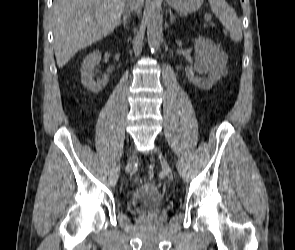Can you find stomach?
Here are the masks:
<instances>
[{
	"instance_id": "0dacf381",
	"label": "stomach",
	"mask_w": 295,
	"mask_h": 250,
	"mask_svg": "<svg viewBox=\"0 0 295 250\" xmlns=\"http://www.w3.org/2000/svg\"><path fill=\"white\" fill-rule=\"evenodd\" d=\"M167 3L180 13H193L197 11L203 0H166Z\"/></svg>"
}]
</instances>
